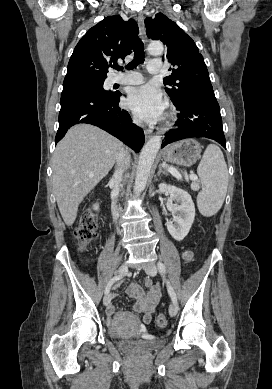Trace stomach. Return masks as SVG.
Returning <instances> with one entry per match:
<instances>
[{
  "label": "stomach",
  "instance_id": "0dacf381",
  "mask_svg": "<svg viewBox=\"0 0 272 389\" xmlns=\"http://www.w3.org/2000/svg\"><path fill=\"white\" fill-rule=\"evenodd\" d=\"M202 146L195 139H184L172 143L162 151L165 161L182 166H191L200 157Z\"/></svg>",
  "mask_w": 272,
  "mask_h": 389
}]
</instances>
